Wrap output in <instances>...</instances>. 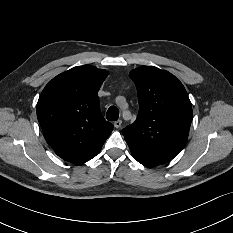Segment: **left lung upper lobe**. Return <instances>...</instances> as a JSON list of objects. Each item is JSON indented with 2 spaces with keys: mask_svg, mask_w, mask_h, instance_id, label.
<instances>
[{
  "mask_svg": "<svg viewBox=\"0 0 233 233\" xmlns=\"http://www.w3.org/2000/svg\"><path fill=\"white\" fill-rule=\"evenodd\" d=\"M138 92L139 113L122 130L126 142L172 159L187 143L192 107L182 83L171 73L141 66L129 74Z\"/></svg>",
  "mask_w": 233,
  "mask_h": 233,
  "instance_id": "5c2ea615",
  "label": "left lung upper lobe"
}]
</instances>
